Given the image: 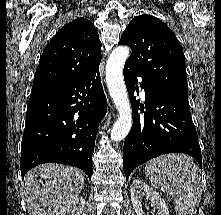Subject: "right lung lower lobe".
Returning <instances> with one entry per match:
<instances>
[{
	"instance_id": "obj_1",
	"label": "right lung lower lobe",
	"mask_w": 221,
	"mask_h": 215,
	"mask_svg": "<svg viewBox=\"0 0 221 215\" xmlns=\"http://www.w3.org/2000/svg\"><path fill=\"white\" fill-rule=\"evenodd\" d=\"M107 110L99 65L58 88L30 96L21 146V175L42 163L82 169L91 179L99 122Z\"/></svg>"
}]
</instances>
